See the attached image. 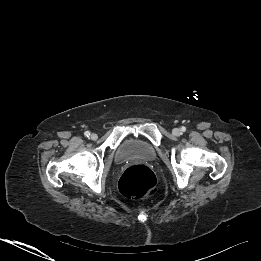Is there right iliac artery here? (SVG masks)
Here are the masks:
<instances>
[{
	"mask_svg": "<svg viewBox=\"0 0 261 261\" xmlns=\"http://www.w3.org/2000/svg\"><path fill=\"white\" fill-rule=\"evenodd\" d=\"M84 135H85L86 137H89V136H90V132H89V131H86V132L84 133Z\"/></svg>",
	"mask_w": 261,
	"mask_h": 261,
	"instance_id": "82829eb1",
	"label": "right iliac artery"
}]
</instances>
